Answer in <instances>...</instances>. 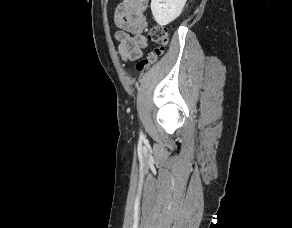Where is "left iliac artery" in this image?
<instances>
[{"mask_svg": "<svg viewBox=\"0 0 292 228\" xmlns=\"http://www.w3.org/2000/svg\"><path fill=\"white\" fill-rule=\"evenodd\" d=\"M140 135L142 136L143 134H142V131H140Z\"/></svg>", "mask_w": 292, "mask_h": 228, "instance_id": "left-iliac-artery-1", "label": "left iliac artery"}]
</instances>
